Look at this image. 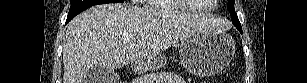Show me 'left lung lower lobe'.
<instances>
[{
  "mask_svg": "<svg viewBox=\"0 0 307 83\" xmlns=\"http://www.w3.org/2000/svg\"><path fill=\"white\" fill-rule=\"evenodd\" d=\"M242 33V28H237Z\"/></svg>",
  "mask_w": 307,
  "mask_h": 83,
  "instance_id": "0a47b994",
  "label": "left lung lower lobe"
}]
</instances>
